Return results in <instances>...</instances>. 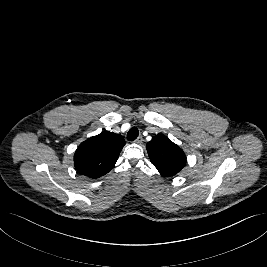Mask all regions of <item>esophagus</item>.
<instances>
[{
	"label": "esophagus",
	"instance_id": "obj_1",
	"mask_svg": "<svg viewBox=\"0 0 267 267\" xmlns=\"http://www.w3.org/2000/svg\"><path fill=\"white\" fill-rule=\"evenodd\" d=\"M135 142H136L137 144H141V143L143 142V138H142V136H139V137L135 140Z\"/></svg>",
	"mask_w": 267,
	"mask_h": 267
}]
</instances>
